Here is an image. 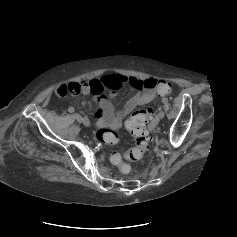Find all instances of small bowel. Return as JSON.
Returning <instances> with one entry per match:
<instances>
[{"label": "small bowel", "instance_id": "small-bowel-1", "mask_svg": "<svg viewBox=\"0 0 237 237\" xmlns=\"http://www.w3.org/2000/svg\"><path fill=\"white\" fill-rule=\"evenodd\" d=\"M124 84L129 85L134 90V95L123 107L115 111L113 104L104 97V93L108 91L111 96H114L116 91ZM156 85L157 80L155 78L142 80L113 74L100 79L62 84L55 89V93L59 97H64L68 94L78 95L80 93L93 95L99 103V109L95 114L96 125L98 127L118 129L132 110L150 103L155 98Z\"/></svg>", "mask_w": 237, "mask_h": 237}]
</instances>
